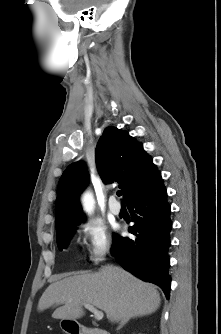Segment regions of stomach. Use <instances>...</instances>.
Segmentation results:
<instances>
[{
  "label": "stomach",
  "instance_id": "stomach-1",
  "mask_svg": "<svg viewBox=\"0 0 221 334\" xmlns=\"http://www.w3.org/2000/svg\"><path fill=\"white\" fill-rule=\"evenodd\" d=\"M70 323L69 320H66V319H63L61 322H60V327L64 330V331H67V326L68 324ZM68 333V332H67ZM69 334V333H68Z\"/></svg>",
  "mask_w": 221,
  "mask_h": 334
}]
</instances>
